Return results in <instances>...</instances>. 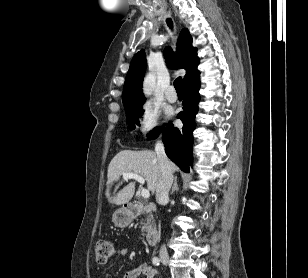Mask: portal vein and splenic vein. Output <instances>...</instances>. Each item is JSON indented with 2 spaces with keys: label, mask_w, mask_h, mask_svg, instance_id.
Returning <instances> with one entry per match:
<instances>
[{
  "label": "portal vein and splenic vein",
  "mask_w": 308,
  "mask_h": 278,
  "mask_svg": "<svg viewBox=\"0 0 308 278\" xmlns=\"http://www.w3.org/2000/svg\"><path fill=\"white\" fill-rule=\"evenodd\" d=\"M123 178L124 179H134L141 184H144V182H145L144 178L137 173H131V172L130 173H124ZM141 196L143 198H149V196H150L149 190L143 188L141 190Z\"/></svg>",
  "instance_id": "obj_1"
}]
</instances>
